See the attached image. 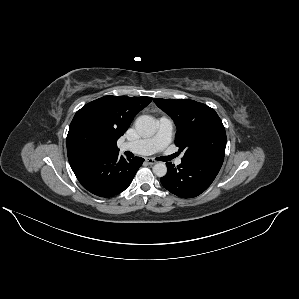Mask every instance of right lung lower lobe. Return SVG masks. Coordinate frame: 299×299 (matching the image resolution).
<instances>
[{
    "mask_svg": "<svg viewBox=\"0 0 299 299\" xmlns=\"http://www.w3.org/2000/svg\"><path fill=\"white\" fill-rule=\"evenodd\" d=\"M144 159H124L118 154L98 155L71 165L81 185L99 197H112L124 191Z\"/></svg>",
    "mask_w": 299,
    "mask_h": 299,
    "instance_id": "obj_1",
    "label": "right lung lower lobe"
}]
</instances>
